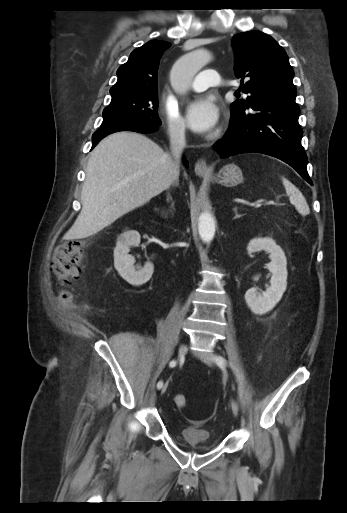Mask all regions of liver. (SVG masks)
<instances>
[{
  "label": "liver",
  "instance_id": "1",
  "mask_svg": "<svg viewBox=\"0 0 347 513\" xmlns=\"http://www.w3.org/2000/svg\"><path fill=\"white\" fill-rule=\"evenodd\" d=\"M177 180L168 154L147 136L128 131L108 135L90 154L82 209L66 238L96 234Z\"/></svg>",
  "mask_w": 347,
  "mask_h": 513
}]
</instances>
